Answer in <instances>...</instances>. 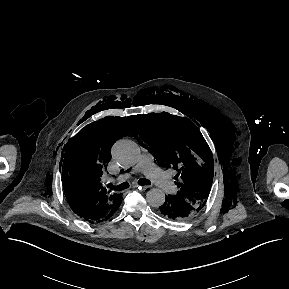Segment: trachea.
<instances>
[{"label":"trachea","mask_w":289,"mask_h":289,"mask_svg":"<svg viewBox=\"0 0 289 289\" xmlns=\"http://www.w3.org/2000/svg\"><path fill=\"white\" fill-rule=\"evenodd\" d=\"M138 184L144 186V185H150L151 182L149 180H147V179L142 178V179H139ZM107 186L110 189H115V190H118V191H122V190L127 189L129 187V183L128 182H124V183H121V184H119L117 186H114L112 184H108Z\"/></svg>","instance_id":"trachea-1"}]
</instances>
